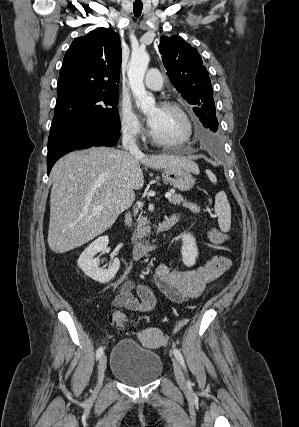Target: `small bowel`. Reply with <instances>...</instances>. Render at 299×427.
Segmentation results:
<instances>
[{
  "mask_svg": "<svg viewBox=\"0 0 299 427\" xmlns=\"http://www.w3.org/2000/svg\"><path fill=\"white\" fill-rule=\"evenodd\" d=\"M178 219L179 215H172ZM209 240L217 248H223L228 236L216 228L208 233ZM230 266V261L222 255H217L208 260L204 265L191 270H174L166 264L157 266L152 275L153 284L175 303H182L198 297L206 284L218 275L225 272ZM132 281L125 282L113 301L115 307H122L131 311L148 312L156 307V299L146 283L137 285L141 301L132 295L134 288Z\"/></svg>",
  "mask_w": 299,
  "mask_h": 427,
  "instance_id": "c3829d8e",
  "label": "small bowel"
}]
</instances>
